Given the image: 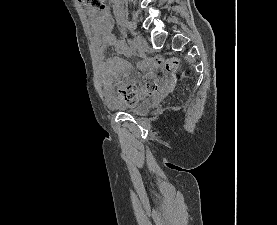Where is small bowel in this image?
I'll return each mask as SVG.
<instances>
[{
    "label": "small bowel",
    "instance_id": "1",
    "mask_svg": "<svg viewBox=\"0 0 277 225\" xmlns=\"http://www.w3.org/2000/svg\"><path fill=\"white\" fill-rule=\"evenodd\" d=\"M89 17L93 31V44L99 58L100 80L104 89L107 91L114 83H121L129 78L134 80L131 77L132 65L129 61L116 56L104 60L107 44L113 45L120 55L131 56V50L127 45L113 35L114 21L109 11L106 8L102 12L90 9ZM162 79L164 87H168L174 82L173 77L168 75H163Z\"/></svg>",
    "mask_w": 277,
    "mask_h": 225
}]
</instances>
